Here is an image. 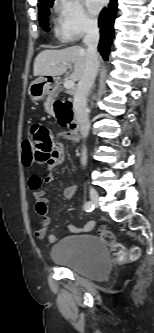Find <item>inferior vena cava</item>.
Masks as SVG:
<instances>
[{
    "label": "inferior vena cava",
    "mask_w": 154,
    "mask_h": 333,
    "mask_svg": "<svg viewBox=\"0 0 154 333\" xmlns=\"http://www.w3.org/2000/svg\"><path fill=\"white\" fill-rule=\"evenodd\" d=\"M86 35L83 43L87 46L85 69L83 76L78 82L77 89L74 94V112L76 120L80 127V133L85 139L88 136L90 123L87 112V96L95 81L99 60L97 54V46L99 43V29L96 21H87L85 24ZM82 165H86V149H83L81 157Z\"/></svg>",
    "instance_id": "obj_1"
}]
</instances>
